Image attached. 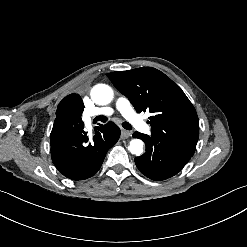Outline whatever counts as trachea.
<instances>
[{"instance_id":"obj_1","label":"trachea","mask_w":247,"mask_h":247,"mask_svg":"<svg viewBox=\"0 0 247 247\" xmlns=\"http://www.w3.org/2000/svg\"><path fill=\"white\" fill-rule=\"evenodd\" d=\"M97 120H101L102 122H106L107 121V117L106 116H98ZM122 126L126 130H131L132 129V126L128 122H123Z\"/></svg>"}]
</instances>
